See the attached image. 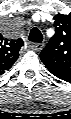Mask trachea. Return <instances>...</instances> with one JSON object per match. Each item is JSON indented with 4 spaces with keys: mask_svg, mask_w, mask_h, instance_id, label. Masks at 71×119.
I'll list each match as a JSON object with an SVG mask.
<instances>
[{
    "mask_svg": "<svg viewBox=\"0 0 71 119\" xmlns=\"http://www.w3.org/2000/svg\"><path fill=\"white\" fill-rule=\"evenodd\" d=\"M28 39L29 41L40 43L43 40V35L38 28H33L30 31Z\"/></svg>",
    "mask_w": 71,
    "mask_h": 119,
    "instance_id": "trachea-1",
    "label": "trachea"
}]
</instances>
